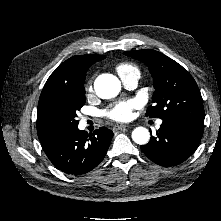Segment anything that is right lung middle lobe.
<instances>
[{"label":"right lung middle lobe","mask_w":221,"mask_h":221,"mask_svg":"<svg viewBox=\"0 0 221 221\" xmlns=\"http://www.w3.org/2000/svg\"><path fill=\"white\" fill-rule=\"evenodd\" d=\"M85 104L84 87L66 86L42 91L37 114V133L54 136L77 128V111Z\"/></svg>","instance_id":"dd1d6c3e"}]
</instances>
